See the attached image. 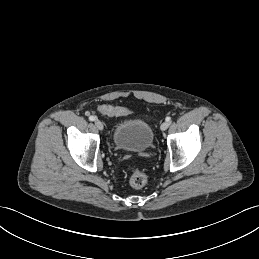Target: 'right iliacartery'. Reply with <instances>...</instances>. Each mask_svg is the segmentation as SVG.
I'll return each instance as SVG.
<instances>
[{"label":"right iliac artery","instance_id":"82829eb1","mask_svg":"<svg viewBox=\"0 0 259 259\" xmlns=\"http://www.w3.org/2000/svg\"><path fill=\"white\" fill-rule=\"evenodd\" d=\"M95 119H96L95 116H90V117H89V120H90V121H94Z\"/></svg>","mask_w":259,"mask_h":259}]
</instances>
